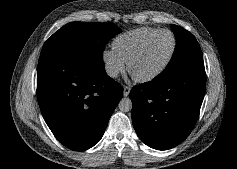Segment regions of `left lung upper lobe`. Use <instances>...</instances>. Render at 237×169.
I'll list each match as a JSON object with an SVG mask.
<instances>
[{"instance_id": "1", "label": "left lung upper lobe", "mask_w": 237, "mask_h": 169, "mask_svg": "<svg viewBox=\"0 0 237 169\" xmlns=\"http://www.w3.org/2000/svg\"><path fill=\"white\" fill-rule=\"evenodd\" d=\"M171 28L177 45L169 64L162 74L176 72L187 66L203 63L202 51L195 37L177 25L172 24Z\"/></svg>"}]
</instances>
